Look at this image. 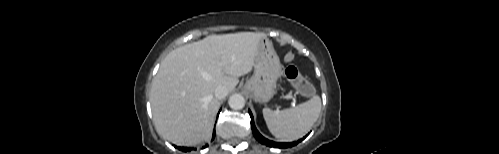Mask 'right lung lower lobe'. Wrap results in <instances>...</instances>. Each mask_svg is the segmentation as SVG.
I'll use <instances>...</instances> for the list:
<instances>
[{
  "mask_svg": "<svg viewBox=\"0 0 499 154\" xmlns=\"http://www.w3.org/2000/svg\"><path fill=\"white\" fill-rule=\"evenodd\" d=\"M214 136H215V130H214V132H213V137H214ZM206 146H207V145H206ZM206 146H203V148H205ZM175 147H176V148H178V149H179V150H181V151H184V152H186V151H190V150H191V148H187V147H177V146H175Z\"/></svg>",
  "mask_w": 499,
  "mask_h": 154,
  "instance_id": "98d812e1",
  "label": "right lung lower lobe"
}]
</instances>
